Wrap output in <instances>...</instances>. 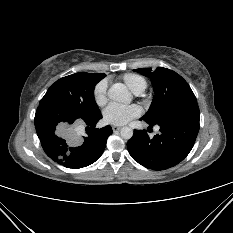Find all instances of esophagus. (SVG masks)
<instances>
[{"instance_id":"1","label":"esophagus","mask_w":233,"mask_h":233,"mask_svg":"<svg viewBox=\"0 0 233 233\" xmlns=\"http://www.w3.org/2000/svg\"><path fill=\"white\" fill-rule=\"evenodd\" d=\"M121 129V126H112V130L115 131H119Z\"/></svg>"}]
</instances>
